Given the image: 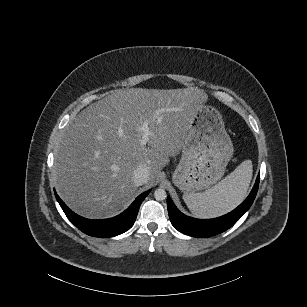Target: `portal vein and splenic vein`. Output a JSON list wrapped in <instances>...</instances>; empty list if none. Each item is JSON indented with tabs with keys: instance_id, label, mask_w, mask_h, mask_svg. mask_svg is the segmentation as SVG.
<instances>
[{
	"instance_id": "obj_1",
	"label": "portal vein and splenic vein",
	"mask_w": 307,
	"mask_h": 307,
	"mask_svg": "<svg viewBox=\"0 0 307 307\" xmlns=\"http://www.w3.org/2000/svg\"><path fill=\"white\" fill-rule=\"evenodd\" d=\"M163 112H165V109H160V110L156 111L155 118L157 119L158 122L161 121L160 114L163 113ZM140 130L143 132L142 138L140 140V145L145 146L148 143L150 136L154 135V133L150 132V130H149L148 120L143 121V123L140 126Z\"/></svg>"
}]
</instances>
